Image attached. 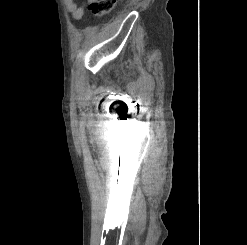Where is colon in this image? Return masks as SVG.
Returning a JSON list of instances; mask_svg holds the SVG:
<instances>
[{"label": "colon", "instance_id": "5ec220e1", "mask_svg": "<svg viewBox=\"0 0 247 245\" xmlns=\"http://www.w3.org/2000/svg\"><path fill=\"white\" fill-rule=\"evenodd\" d=\"M118 0H91L88 8L92 15L101 17L111 13Z\"/></svg>", "mask_w": 247, "mask_h": 245}]
</instances>
